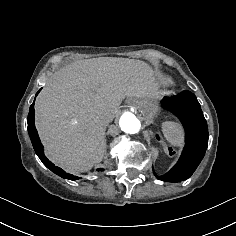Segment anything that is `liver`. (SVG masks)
I'll return each mask as SVG.
<instances>
[{
    "label": "liver",
    "mask_w": 236,
    "mask_h": 236,
    "mask_svg": "<svg viewBox=\"0 0 236 236\" xmlns=\"http://www.w3.org/2000/svg\"><path fill=\"white\" fill-rule=\"evenodd\" d=\"M157 91L153 69L140 60L99 57L61 68L35 104L45 154L69 172L90 170L106 153V127L122 100L152 98Z\"/></svg>",
    "instance_id": "6515ba94"
}]
</instances>
